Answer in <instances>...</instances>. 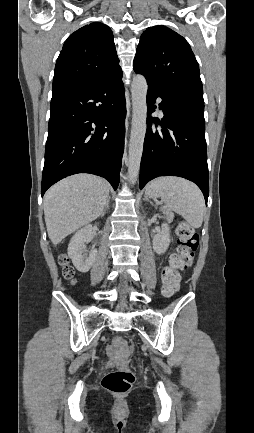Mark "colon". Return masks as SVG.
<instances>
[{
  "label": "colon",
  "mask_w": 254,
  "mask_h": 433,
  "mask_svg": "<svg viewBox=\"0 0 254 433\" xmlns=\"http://www.w3.org/2000/svg\"><path fill=\"white\" fill-rule=\"evenodd\" d=\"M177 234L179 236L178 250L170 257L169 264L165 265L161 271L166 296H173L177 292L179 287L178 271L192 258L199 243V236L195 229L186 222L178 224ZM59 261L64 266L63 274L65 278L74 282V270L68 265V258L63 255L59 258ZM115 345L120 352L126 350V342L121 337L115 339ZM133 383V373L125 369L110 371L102 379L103 388L115 395L128 393Z\"/></svg>",
  "instance_id": "5ec220e1"
}]
</instances>
